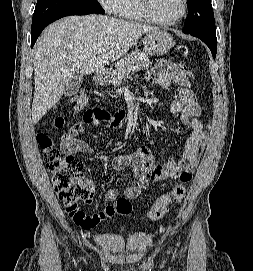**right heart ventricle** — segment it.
<instances>
[{"label": "right heart ventricle", "mask_w": 253, "mask_h": 271, "mask_svg": "<svg viewBox=\"0 0 253 271\" xmlns=\"http://www.w3.org/2000/svg\"><path fill=\"white\" fill-rule=\"evenodd\" d=\"M117 13L120 17L128 20H146L140 9L139 0H122V3Z\"/></svg>", "instance_id": "e07e8e85"}]
</instances>
